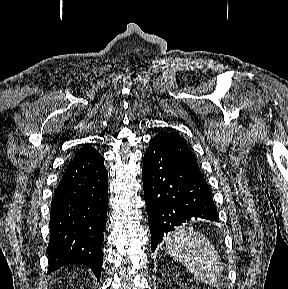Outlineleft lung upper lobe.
<instances>
[{
	"label": "left lung upper lobe",
	"mask_w": 288,
	"mask_h": 289,
	"mask_svg": "<svg viewBox=\"0 0 288 289\" xmlns=\"http://www.w3.org/2000/svg\"><path fill=\"white\" fill-rule=\"evenodd\" d=\"M153 139L163 144L178 159L198 168L197 159L190 151L187 141L183 137L173 132L167 133L161 131Z\"/></svg>",
	"instance_id": "left-lung-upper-lobe-1"
}]
</instances>
